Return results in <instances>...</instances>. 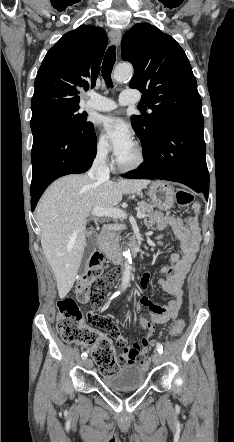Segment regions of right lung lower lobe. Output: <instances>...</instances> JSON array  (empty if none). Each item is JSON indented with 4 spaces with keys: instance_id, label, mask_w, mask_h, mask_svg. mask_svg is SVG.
Instances as JSON below:
<instances>
[{
    "instance_id": "obj_1",
    "label": "right lung lower lobe",
    "mask_w": 234,
    "mask_h": 442,
    "mask_svg": "<svg viewBox=\"0 0 234 442\" xmlns=\"http://www.w3.org/2000/svg\"><path fill=\"white\" fill-rule=\"evenodd\" d=\"M33 167L31 183L32 211L45 189L57 178L86 172L96 155L94 130L86 137L76 135L62 126L39 125L32 128Z\"/></svg>"
}]
</instances>
